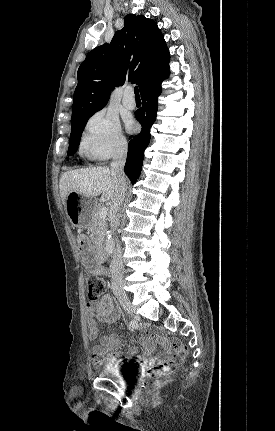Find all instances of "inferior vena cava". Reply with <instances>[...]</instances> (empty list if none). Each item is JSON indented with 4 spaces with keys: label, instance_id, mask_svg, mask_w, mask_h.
<instances>
[{
    "label": "inferior vena cava",
    "instance_id": "inferior-vena-cava-1",
    "mask_svg": "<svg viewBox=\"0 0 275 431\" xmlns=\"http://www.w3.org/2000/svg\"><path fill=\"white\" fill-rule=\"evenodd\" d=\"M127 156V145L123 144L116 149L113 154V160L111 162V172L114 179L117 181V189L112 198L111 205V226L116 230L119 226V218L117 212L125 199V192L127 189L126 176L124 174V165ZM111 275H112V289L119 291L122 290L123 283V262H122V251L117 240V245L113 259L110 264Z\"/></svg>",
    "mask_w": 275,
    "mask_h": 431
}]
</instances>
